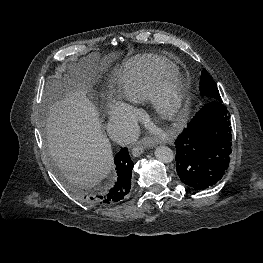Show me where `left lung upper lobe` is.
Returning <instances> with one entry per match:
<instances>
[{"mask_svg":"<svg viewBox=\"0 0 263 263\" xmlns=\"http://www.w3.org/2000/svg\"><path fill=\"white\" fill-rule=\"evenodd\" d=\"M200 93L211 100L222 101L216 84L205 69L202 70L200 79Z\"/></svg>","mask_w":263,"mask_h":263,"instance_id":"left-lung-upper-lobe-1","label":"left lung upper lobe"}]
</instances>
